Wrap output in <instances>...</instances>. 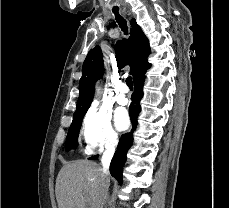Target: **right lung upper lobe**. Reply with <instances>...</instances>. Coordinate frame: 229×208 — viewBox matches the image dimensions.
Here are the masks:
<instances>
[{
    "label": "right lung upper lobe",
    "instance_id": "1",
    "mask_svg": "<svg viewBox=\"0 0 229 208\" xmlns=\"http://www.w3.org/2000/svg\"><path fill=\"white\" fill-rule=\"evenodd\" d=\"M131 37L128 41H118L115 45L116 58L118 67L129 65L130 73L135 80L137 77L145 74L151 64L147 62V57L151 50L149 41L142 29L137 25L135 19L131 22ZM103 75V57L99 46L91 49L84 61L82 67V77L79 83V98L77 101L76 111L73 116L74 120L83 119L87 112L94 93V83Z\"/></svg>",
    "mask_w": 229,
    "mask_h": 208
}]
</instances>
